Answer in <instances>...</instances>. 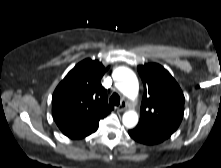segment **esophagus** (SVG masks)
Here are the masks:
<instances>
[{
  "mask_svg": "<svg viewBox=\"0 0 221 168\" xmlns=\"http://www.w3.org/2000/svg\"><path fill=\"white\" fill-rule=\"evenodd\" d=\"M127 102L125 100L121 101L120 106L117 108L118 111L123 112L127 109Z\"/></svg>",
  "mask_w": 221,
  "mask_h": 168,
  "instance_id": "esophagus-1",
  "label": "esophagus"
}]
</instances>
